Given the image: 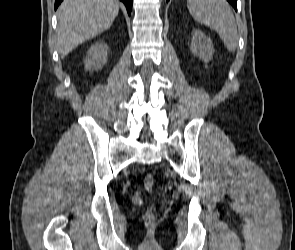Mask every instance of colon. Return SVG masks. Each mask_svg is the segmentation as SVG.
Instances as JSON below:
<instances>
[{"label": "colon", "instance_id": "1", "mask_svg": "<svg viewBox=\"0 0 295 250\" xmlns=\"http://www.w3.org/2000/svg\"><path fill=\"white\" fill-rule=\"evenodd\" d=\"M154 177L149 174L146 175L143 181L144 187L148 192H151L154 187ZM145 221L149 224H152L155 221L156 215L153 209H148L144 215Z\"/></svg>", "mask_w": 295, "mask_h": 250}]
</instances>
